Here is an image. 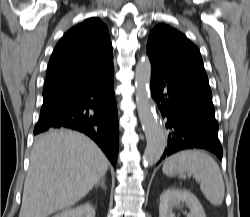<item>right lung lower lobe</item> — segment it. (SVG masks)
<instances>
[{"mask_svg": "<svg viewBox=\"0 0 250 217\" xmlns=\"http://www.w3.org/2000/svg\"><path fill=\"white\" fill-rule=\"evenodd\" d=\"M55 128L85 133L116 166L119 127L114 95V66L89 82L43 97L34 134Z\"/></svg>", "mask_w": 250, "mask_h": 217, "instance_id": "1", "label": "right lung lower lobe"}]
</instances>
